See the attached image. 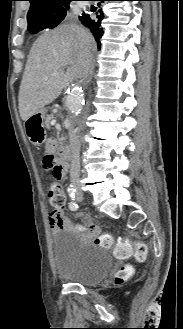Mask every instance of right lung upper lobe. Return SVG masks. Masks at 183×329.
Here are the masks:
<instances>
[{
	"instance_id": "cb5924a9",
	"label": "right lung upper lobe",
	"mask_w": 183,
	"mask_h": 329,
	"mask_svg": "<svg viewBox=\"0 0 183 329\" xmlns=\"http://www.w3.org/2000/svg\"><path fill=\"white\" fill-rule=\"evenodd\" d=\"M30 9L27 14L28 25L33 22H47L54 19L60 7L72 0H28Z\"/></svg>"
}]
</instances>
